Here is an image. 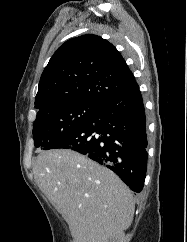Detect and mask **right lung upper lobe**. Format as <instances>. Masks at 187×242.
Segmentation results:
<instances>
[{"label": "right lung upper lobe", "instance_id": "1", "mask_svg": "<svg viewBox=\"0 0 187 242\" xmlns=\"http://www.w3.org/2000/svg\"><path fill=\"white\" fill-rule=\"evenodd\" d=\"M139 88L121 54L107 40L86 34L66 41L51 57L35 97L37 115L73 102L102 105Z\"/></svg>", "mask_w": 187, "mask_h": 242}]
</instances>
